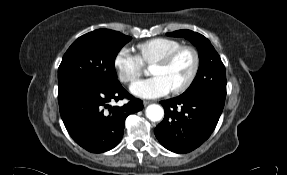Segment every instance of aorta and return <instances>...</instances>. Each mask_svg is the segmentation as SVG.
I'll return each instance as SVG.
<instances>
[{"label": "aorta", "mask_w": 287, "mask_h": 175, "mask_svg": "<svg viewBox=\"0 0 287 175\" xmlns=\"http://www.w3.org/2000/svg\"><path fill=\"white\" fill-rule=\"evenodd\" d=\"M145 113L146 117L152 122L160 121L164 116V110L158 104H151L147 106Z\"/></svg>", "instance_id": "762f6f07"}]
</instances>
